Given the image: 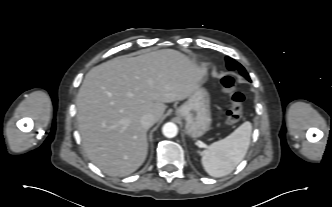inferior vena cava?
<instances>
[{"mask_svg":"<svg viewBox=\"0 0 332 207\" xmlns=\"http://www.w3.org/2000/svg\"><path fill=\"white\" fill-rule=\"evenodd\" d=\"M140 122L146 129L150 128L155 123V117L153 114H145L141 117Z\"/></svg>","mask_w":332,"mask_h":207,"instance_id":"1","label":"inferior vena cava"}]
</instances>
